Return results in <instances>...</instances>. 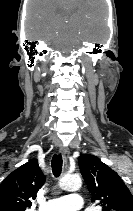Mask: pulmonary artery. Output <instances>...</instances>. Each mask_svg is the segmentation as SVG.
I'll return each mask as SVG.
<instances>
[{"instance_id": "1", "label": "pulmonary artery", "mask_w": 133, "mask_h": 211, "mask_svg": "<svg viewBox=\"0 0 133 211\" xmlns=\"http://www.w3.org/2000/svg\"><path fill=\"white\" fill-rule=\"evenodd\" d=\"M83 205V197L78 193H71L48 200L43 203L39 211H77L81 209Z\"/></svg>"}]
</instances>
